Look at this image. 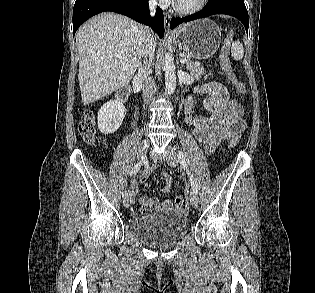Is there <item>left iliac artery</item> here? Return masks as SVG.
I'll return each instance as SVG.
<instances>
[{
  "instance_id": "44dca946",
  "label": "left iliac artery",
  "mask_w": 315,
  "mask_h": 293,
  "mask_svg": "<svg viewBox=\"0 0 315 293\" xmlns=\"http://www.w3.org/2000/svg\"><path fill=\"white\" fill-rule=\"evenodd\" d=\"M177 157H178L179 162L183 166V168L186 169V171H187V174H188L190 182H191V187H192L193 193L197 194L198 193L197 184H196L193 176L191 175V173L187 169V160H186L185 154L182 151H178Z\"/></svg>"
}]
</instances>
